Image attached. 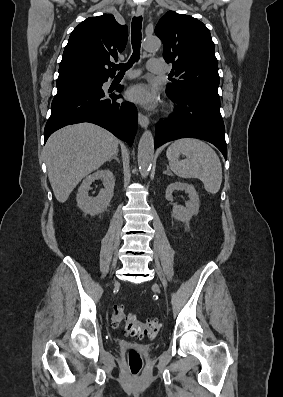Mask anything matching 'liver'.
I'll use <instances>...</instances> for the list:
<instances>
[{
	"label": "liver",
	"mask_w": 283,
	"mask_h": 397,
	"mask_svg": "<svg viewBox=\"0 0 283 397\" xmlns=\"http://www.w3.org/2000/svg\"><path fill=\"white\" fill-rule=\"evenodd\" d=\"M119 140L91 124L66 126L48 139L44 151L56 199L64 203L77 184L118 152Z\"/></svg>",
	"instance_id": "1"
}]
</instances>
